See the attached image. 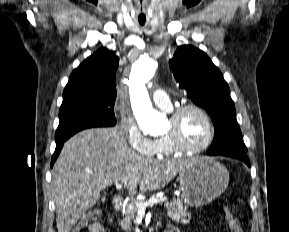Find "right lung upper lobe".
<instances>
[{"label":"right lung upper lobe","instance_id":"right-lung-upper-lobe-1","mask_svg":"<svg viewBox=\"0 0 289 232\" xmlns=\"http://www.w3.org/2000/svg\"><path fill=\"white\" fill-rule=\"evenodd\" d=\"M119 58L107 48L97 50L70 75L63 102L79 97L116 98V69Z\"/></svg>","mask_w":289,"mask_h":232}]
</instances>
